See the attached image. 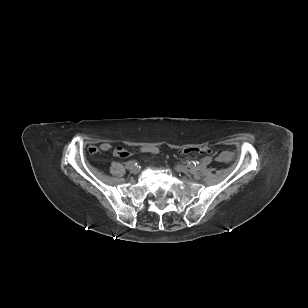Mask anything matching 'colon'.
<instances>
[{"label":"colon","instance_id":"colon-1","mask_svg":"<svg viewBox=\"0 0 308 308\" xmlns=\"http://www.w3.org/2000/svg\"><path fill=\"white\" fill-rule=\"evenodd\" d=\"M139 150L141 152L157 153L156 148H151L147 146H140ZM93 151L97 152L96 149H94ZM208 152H210V148L206 146L186 148L183 150L184 154H204ZM114 154L118 157H127L129 155V152L121 147H118L114 150Z\"/></svg>","mask_w":308,"mask_h":308}]
</instances>
